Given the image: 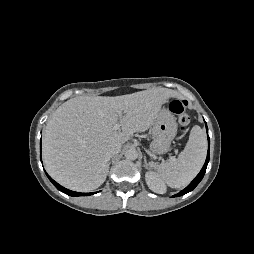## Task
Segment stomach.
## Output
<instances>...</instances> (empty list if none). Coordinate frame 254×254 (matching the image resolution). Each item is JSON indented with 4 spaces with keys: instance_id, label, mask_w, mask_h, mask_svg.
Listing matches in <instances>:
<instances>
[{
    "instance_id": "stomach-1",
    "label": "stomach",
    "mask_w": 254,
    "mask_h": 254,
    "mask_svg": "<svg viewBox=\"0 0 254 254\" xmlns=\"http://www.w3.org/2000/svg\"><path fill=\"white\" fill-rule=\"evenodd\" d=\"M176 134L177 123L174 115L168 109H161L153 122L150 150L159 155L168 152Z\"/></svg>"
}]
</instances>
